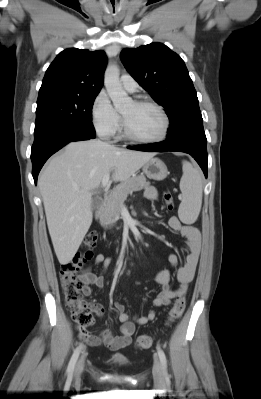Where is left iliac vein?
Segmentation results:
<instances>
[{"label": "left iliac vein", "mask_w": 261, "mask_h": 399, "mask_svg": "<svg viewBox=\"0 0 261 399\" xmlns=\"http://www.w3.org/2000/svg\"><path fill=\"white\" fill-rule=\"evenodd\" d=\"M154 380L157 382H161L163 379V371L162 365L158 359V357L154 358L153 369H152Z\"/></svg>", "instance_id": "left-iliac-vein-1"}]
</instances>
